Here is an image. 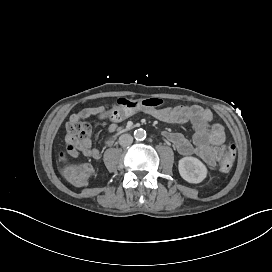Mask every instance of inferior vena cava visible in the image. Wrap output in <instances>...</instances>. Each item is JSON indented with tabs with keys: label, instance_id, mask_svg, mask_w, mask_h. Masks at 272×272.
<instances>
[{
	"label": "inferior vena cava",
	"instance_id": "inferior-vena-cava-1",
	"mask_svg": "<svg viewBox=\"0 0 272 272\" xmlns=\"http://www.w3.org/2000/svg\"><path fill=\"white\" fill-rule=\"evenodd\" d=\"M133 142V137L130 134H122L119 137V144L123 147L131 145Z\"/></svg>",
	"mask_w": 272,
	"mask_h": 272
}]
</instances>
